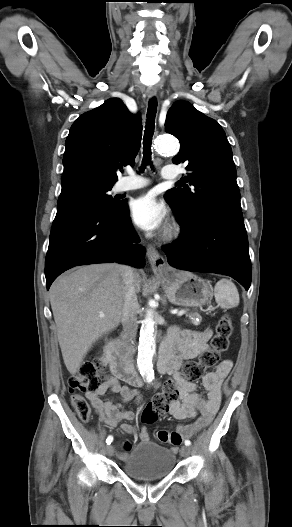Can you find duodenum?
Instances as JSON below:
<instances>
[{
  "label": "duodenum",
  "instance_id": "1",
  "mask_svg": "<svg viewBox=\"0 0 292 527\" xmlns=\"http://www.w3.org/2000/svg\"><path fill=\"white\" fill-rule=\"evenodd\" d=\"M107 349L111 357V367L113 372L131 385H142V380L137 376L132 364L123 353L120 342L118 340L111 341L108 344ZM169 362L170 351L167 346L163 344L159 351V359L157 363L158 371L160 373L167 372Z\"/></svg>",
  "mask_w": 292,
  "mask_h": 527
}]
</instances>
